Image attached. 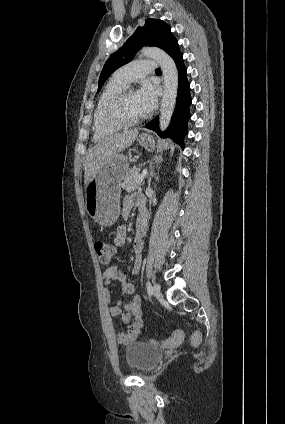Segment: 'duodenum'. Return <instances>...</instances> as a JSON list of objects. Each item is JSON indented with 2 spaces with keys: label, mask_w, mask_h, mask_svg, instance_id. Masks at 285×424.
Listing matches in <instances>:
<instances>
[{
  "label": "duodenum",
  "mask_w": 285,
  "mask_h": 424,
  "mask_svg": "<svg viewBox=\"0 0 285 424\" xmlns=\"http://www.w3.org/2000/svg\"><path fill=\"white\" fill-rule=\"evenodd\" d=\"M146 225H147V217L141 216L137 221V232L139 237H142L145 234Z\"/></svg>",
  "instance_id": "410a0bca"
}]
</instances>
